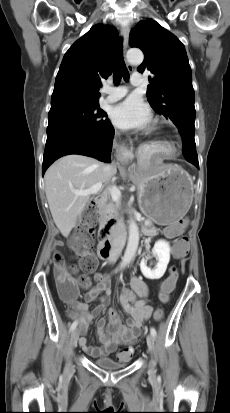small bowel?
<instances>
[{
  "label": "small bowel",
  "instance_id": "obj_1",
  "mask_svg": "<svg viewBox=\"0 0 230 413\" xmlns=\"http://www.w3.org/2000/svg\"><path fill=\"white\" fill-rule=\"evenodd\" d=\"M180 225H172L165 229L167 237L176 236L180 230ZM186 250V248H185ZM96 285L93 286L86 294V302L99 300L98 305L89 311L86 303L73 302V310L69 316L75 320L78 325L79 345L92 358L105 357L115 354L116 358L125 362L130 356L124 352V349L118 350L119 346H126L132 343L140 335V328L143 323L152 315V308L146 303L144 298L148 296L149 289L146 283L138 277L131 280V286L134 291L123 290L119 296V303L130 316L126 324L120 321L117 312L113 309L108 310L109 326L105 330L106 321L103 318L97 321V334L100 347L90 346L85 338L88 325L97 318L101 312L108 306L111 294L110 283L102 274H96ZM138 295L140 298H137Z\"/></svg>",
  "mask_w": 230,
  "mask_h": 413
}]
</instances>
